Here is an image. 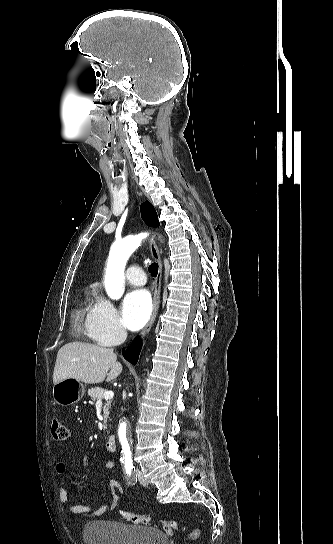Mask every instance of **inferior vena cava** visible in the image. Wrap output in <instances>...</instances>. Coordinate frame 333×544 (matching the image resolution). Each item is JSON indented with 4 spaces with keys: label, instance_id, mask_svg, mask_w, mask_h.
<instances>
[{
    "label": "inferior vena cava",
    "instance_id": "1",
    "mask_svg": "<svg viewBox=\"0 0 333 544\" xmlns=\"http://www.w3.org/2000/svg\"><path fill=\"white\" fill-rule=\"evenodd\" d=\"M126 337H127V332H126V330L121 329L120 332H119V336H118V342H123V341H125Z\"/></svg>",
    "mask_w": 333,
    "mask_h": 544
}]
</instances>
